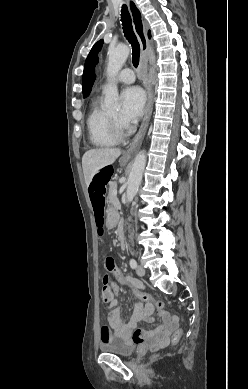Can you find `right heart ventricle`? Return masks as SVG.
<instances>
[{"label":"right heart ventricle","instance_id":"1","mask_svg":"<svg viewBox=\"0 0 248 389\" xmlns=\"http://www.w3.org/2000/svg\"><path fill=\"white\" fill-rule=\"evenodd\" d=\"M86 127L89 140L94 146L110 147L115 145L116 139L111 132L109 114L100 107L98 99L91 104Z\"/></svg>","mask_w":248,"mask_h":389}]
</instances>
